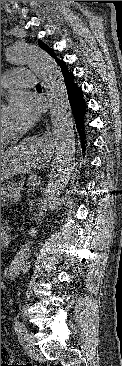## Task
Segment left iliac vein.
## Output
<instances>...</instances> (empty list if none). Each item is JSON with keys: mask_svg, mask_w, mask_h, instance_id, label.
I'll return each mask as SVG.
<instances>
[{"mask_svg": "<svg viewBox=\"0 0 122 366\" xmlns=\"http://www.w3.org/2000/svg\"><path fill=\"white\" fill-rule=\"evenodd\" d=\"M23 339L25 340V348L27 350H33V351H35L34 336H33V334L30 333V332H28V331H26L24 333V338Z\"/></svg>", "mask_w": 122, "mask_h": 366, "instance_id": "obj_1", "label": "left iliac vein"}]
</instances>
